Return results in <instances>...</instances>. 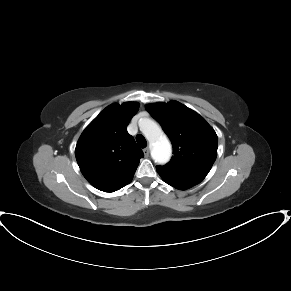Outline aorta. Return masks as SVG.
<instances>
[{"label":"aorta","mask_w":291,"mask_h":291,"mask_svg":"<svg viewBox=\"0 0 291 291\" xmlns=\"http://www.w3.org/2000/svg\"><path fill=\"white\" fill-rule=\"evenodd\" d=\"M139 127L152 146L151 154L155 162L160 164L168 162L171 157L172 147L161 127L149 118H141Z\"/></svg>","instance_id":"aorta-1"}]
</instances>
